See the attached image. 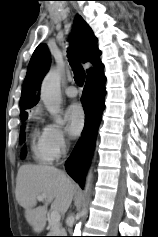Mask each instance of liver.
Returning a JSON list of instances; mask_svg holds the SVG:
<instances>
[{
  "mask_svg": "<svg viewBox=\"0 0 158 237\" xmlns=\"http://www.w3.org/2000/svg\"><path fill=\"white\" fill-rule=\"evenodd\" d=\"M76 185L67 174L48 165H22L16 178V199L25 209V218L36 233L44 230L47 207L64 214L71 205ZM46 194L43 206L36 207L37 197Z\"/></svg>",
  "mask_w": 158,
  "mask_h": 237,
  "instance_id": "1",
  "label": "liver"
}]
</instances>
